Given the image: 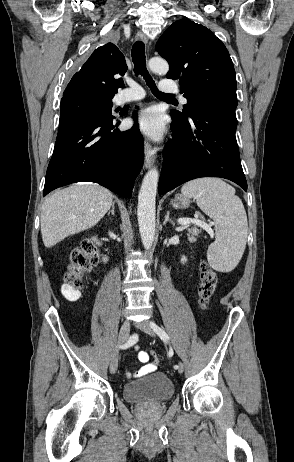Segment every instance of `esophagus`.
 I'll return each mask as SVG.
<instances>
[{"mask_svg": "<svg viewBox=\"0 0 294 462\" xmlns=\"http://www.w3.org/2000/svg\"><path fill=\"white\" fill-rule=\"evenodd\" d=\"M135 41H142L144 43H147L148 37L142 32H138L135 36ZM144 154H145V167L149 168L155 159L156 149L153 148L152 145L147 140L144 141Z\"/></svg>", "mask_w": 294, "mask_h": 462, "instance_id": "1", "label": "esophagus"}]
</instances>
